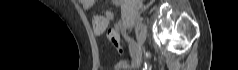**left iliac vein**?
Returning <instances> with one entry per match:
<instances>
[{
    "label": "left iliac vein",
    "instance_id": "1",
    "mask_svg": "<svg viewBox=\"0 0 238 70\" xmlns=\"http://www.w3.org/2000/svg\"><path fill=\"white\" fill-rule=\"evenodd\" d=\"M146 36H147V27H146V25H142V27L138 33V36H137V44L134 48V52L142 47V45L144 44V42L146 40Z\"/></svg>",
    "mask_w": 238,
    "mask_h": 70
}]
</instances>
